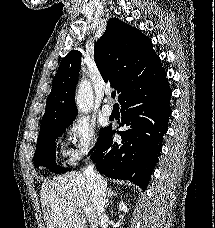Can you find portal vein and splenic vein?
I'll use <instances>...</instances> for the list:
<instances>
[{"instance_id":"portal-vein-and-splenic-vein-1","label":"portal vein and splenic vein","mask_w":215,"mask_h":228,"mask_svg":"<svg viewBox=\"0 0 215 228\" xmlns=\"http://www.w3.org/2000/svg\"><path fill=\"white\" fill-rule=\"evenodd\" d=\"M84 214H86V216H87V214H89V210H86V212H84Z\"/></svg>"}]
</instances>
